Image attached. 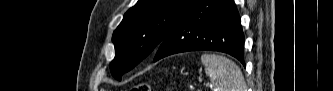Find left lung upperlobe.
<instances>
[{
  "mask_svg": "<svg viewBox=\"0 0 333 91\" xmlns=\"http://www.w3.org/2000/svg\"><path fill=\"white\" fill-rule=\"evenodd\" d=\"M198 0H138L113 33L115 58L110 63L114 78L133 69L153 53L179 20Z\"/></svg>",
  "mask_w": 333,
  "mask_h": 91,
  "instance_id": "1",
  "label": "left lung upper lobe"
}]
</instances>
